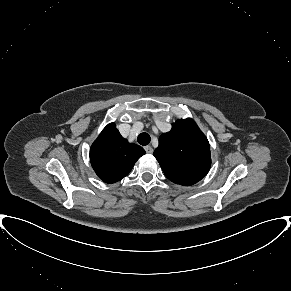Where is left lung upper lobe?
Here are the masks:
<instances>
[{"mask_svg":"<svg viewBox=\"0 0 291 291\" xmlns=\"http://www.w3.org/2000/svg\"><path fill=\"white\" fill-rule=\"evenodd\" d=\"M154 156L165 176L183 186L200 181L211 166L209 142L190 118L178 119L160 136Z\"/></svg>","mask_w":291,"mask_h":291,"instance_id":"obj_1","label":"left lung upper lobe"}]
</instances>
